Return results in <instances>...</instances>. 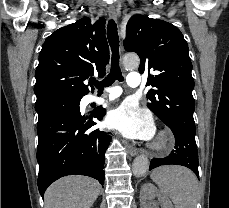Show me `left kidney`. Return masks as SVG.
I'll return each instance as SVG.
<instances>
[{
    "instance_id": "left-kidney-1",
    "label": "left kidney",
    "mask_w": 229,
    "mask_h": 208,
    "mask_svg": "<svg viewBox=\"0 0 229 208\" xmlns=\"http://www.w3.org/2000/svg\"><path fill=\"white\" fill-rule=\"evenodd\" d=\"M154 198H158V202H161L163 208H172V204L167 196L161 194L153 184H143L140 190L141 208H154L153 204L148 202V200H154Z\"/></svg>"
}]
</instances>
